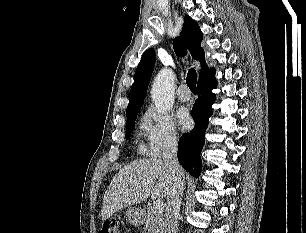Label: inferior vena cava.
I'll return each mask as SVG.
<instances>
[{"label":"inferior vena cava","instance_id":"inferior-vena-cava-1","mask_svg":"<svg viewBox=\"0 0 306 233\" xmlns=\"http://www.w3.org/2000/svg\"><path fill=\"white\" fill-rule=\"evenodd\" d=\"M177 151V137L170 136L163 149V161L170 169L172 175V182L165 207V224L168 233H177L178 231V216L185 185V176L177 159Z\"/></svg>","mask_w":306,"mask_h":233}]
</instances>
